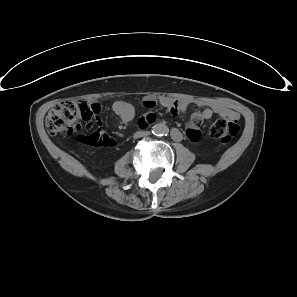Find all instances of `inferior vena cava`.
<instances>
[{
	"instance_id": "1",
	"label": "inferior vena cava",
	"mask_w": 297,
	"mask_h": 297,
	"mask_svg": "<svg viewBox=\"0 0 297 297\" xmlns=\"http://www.w3.org/2000/svg\"><path fill=\"white\" fill-rule=\"evenodd\" d=\"M149 134L148 131H138L134 134V137L135 138H140V137H143V136H147Z\"/></svg>"
}]
</instances>
